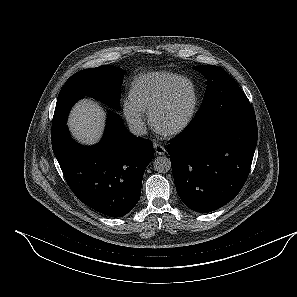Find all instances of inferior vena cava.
Segmentation results:
<instances>
[{"instance_id":"602c4592","label":"inferior vena cava","mask_w":297,"mask_h":297,"mask_svg":"<svg viewBox=\"0 0 297 297\" xmlns=\"http://www.w3.org/2000/svg\"><path fill=\"white\" fill-rule=\"evenodd\" d=\"M129 130L135 136H143L147 133V128L141 120H134L130 122Z\"/></svg>"}]
</instances>
